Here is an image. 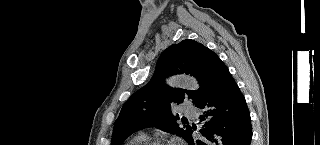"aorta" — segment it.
<instances>
[{
    "label": "aorta",
    "mask_w": 320,
    "mask_h": 145,
    "mask_svg": "<svg viewBox=\"0 0 320 145\" xmlns=\"http://www.w3.org/2000/svg\"><path fill=\"white\" fill-rule=\"evenodd\" d=\"M168 83L173 87H183L188 89H198V82L190 76H175L169 79Z\"/></svg>",
    "instance_id": "1"
}]
</instances>
